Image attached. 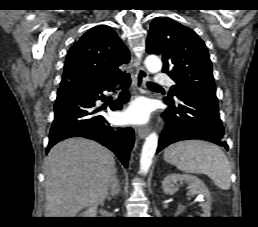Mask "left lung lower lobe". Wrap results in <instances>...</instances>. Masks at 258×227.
<instances>
[{
  "mask_svg": "<svg viewBox=\"0 0 258 227\" xmlns=\"http://www.w3.org/2000/svg\"><path fill=\"white\" fill-rule=\"evenodd\" d=\"M177 101L165 99L168 108L162 114L166 128L159 139L157 153L168 145L187 139H201L228 149L219 116L216 93L203 90L181 91Z\"/></svg>",
  "mask_w": 258,
  "mask_h": 227,
  "instance_id": "left-lung-lower-lobe-1",
  "label": "left lung lower lobe"
}]
</instances>
